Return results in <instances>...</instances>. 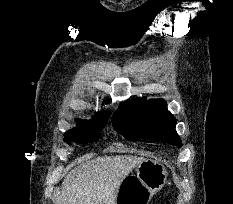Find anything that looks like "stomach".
I'll return each instance as SVG.
<instances>
[{
  "label": "stomach",
  "instance_id": "stomach-1",
  "mask_svg": "<svg viewBox=\"0 0 233 204\" xmlns=\"http://www.w3.org/2000/svg\"><path fill=\"white\" fill-rule=\"evenodd\" d=\"M166 181L165 166L157 160L144 159L136 166V175H129L121 182L115 204H149Z\"/></svg>",
  "mask_w": 233,
  "mask_h": 204
}]
</instances>
